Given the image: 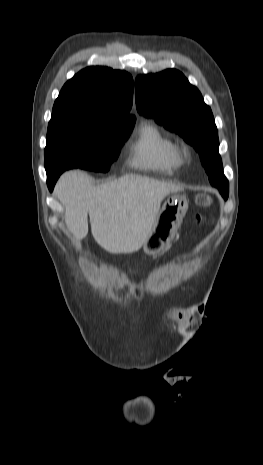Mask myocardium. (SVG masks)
Listing matches in <instances>:
<instances>
[{
  "mask_svg": "<svg viewBox=\"0 0 263 465\" xmlns=\"http://www.w3.org/2000/svg\"><path fill=\"white\" fill-rule=\"evenodd\" d=\"M178 155L181 161L190 162L192 159V151L188 145H182L178 148Z\"/></svg>",
  "mask_w": 263,
  "mask_h": 465,
  "instance_id": "f54148a6",
  "label": "myocardium"
}]
</instances>
